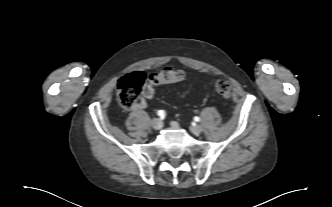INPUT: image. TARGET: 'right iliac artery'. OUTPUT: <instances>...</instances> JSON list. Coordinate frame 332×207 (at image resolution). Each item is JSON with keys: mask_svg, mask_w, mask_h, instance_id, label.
Returning <instances> with one entry per match:
<instances>
[{"mask_svg": "<svg viewBox=\"0 0 332 207\" xmlns=\"http://www.w3.org/2000/svg\"><path fill=\"white\" fill-rule=\"evenodd\" d=\"M157 115H158L159 117L163 118V117L165 116V111H164V110H159V111L157 112Z\"/></svg>", "mask_w": 332, "mask_h": 207, "instance_id": "right-iliac-artery-1", "label": "right iliac artery"}]
</instances>
